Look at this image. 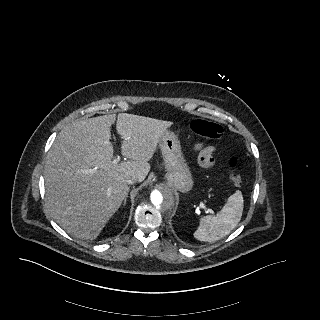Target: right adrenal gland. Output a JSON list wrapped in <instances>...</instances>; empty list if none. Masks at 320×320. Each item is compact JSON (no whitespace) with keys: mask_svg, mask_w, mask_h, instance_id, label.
<instances>
[{"mask_svg":"<svg viewBox=\"0 0 320 320\" xmlns=\"http://www.w3.org/2000/svg\"><path fill=\"white\" fill-rule=\"evenodd\" d=\"M127 195H126V197L124 198V201H123V206H125L126 205V202H127Z\"/></svg>","mask_w":320,"mask_h":320,"instance_id":"1","label":"right adrenal gland"}]
</instances>
